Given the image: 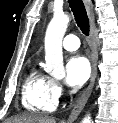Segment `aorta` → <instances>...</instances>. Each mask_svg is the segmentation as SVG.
<instances>
[{"mask_svg": "<svg viewBox=\"0 0 118 123\" xmlns=\"http://www.w3.org/2000/svg\"><path fill=\"white\" fill-rule=\"evenodd\" d=\"M69 16L67 14L54 15L49 23L45 35V67L44 70L54 77H64L62 40L66 32ZM82 123H91V116L87 114Z\"/></svg>", "mask_w": 118, "mask_h": 123, "instance_id": "1", "label": "aorta"}]
</instances>
